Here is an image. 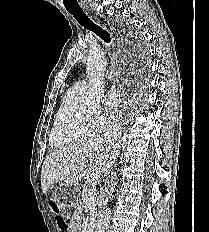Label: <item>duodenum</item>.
Returning a JSON list of instances; mask_svg holds the SVG:
<instances>
[{
  "mask_svg": "<svg viewBox=\"0 0 209 232\" xmlns=\"http://www.w3.org/2000/svg\"><path fill=\"white\" fill-rule=\"evenodd\" d=\"M88 232H96L95 231V225L93 223L90 224Z\"/></svg>",
  "mask_w": 209,
  "mask_h": 232,
  "instance_id": "obj_1",
  "label": "duodenum"
}]
</instances>
